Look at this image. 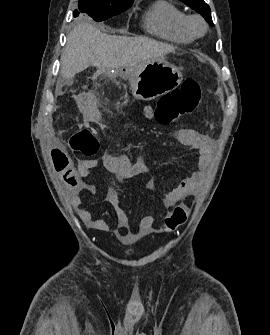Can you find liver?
<instances>
[{
	"mask_svg": "<svg viewBox=\"0 0 270 335\" xmlns=\"http://www.w3.org/2000/svg\"><path fill=\"white\" fill-rule=\"evenodd\" d=\"M174 46L151 38H128L102 34L87 22H81L67 36L61 56L63 78H74L89 66H98L101 72L128 68L130 78L151 60L174 52Z\"/></svg>",
	"mask_w": 270,
	"mask_h": 335,
	"instance_id": "1",
	"label": "liver"
}]
</instances>
